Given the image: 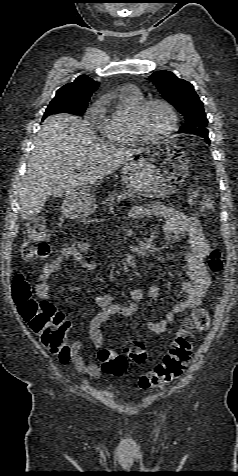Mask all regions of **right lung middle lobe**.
<instances>
[{
  "mask_svg": "<svg viewBox=\"0 0 238 476\" xmlns=\"http://www.w3.org/2000/svg\"><path fill=\"white\" fill-rule=\"evenodd\" d=\"M86 107L87 104H77L66 97H54L45 111L44 118H46L48 115L56 113L80 115L85 112Z\"/></svg>",
  "mask_w": 238,
  "mask_h": 476,
  "instance_id": "dd1d6c3e",
  "label": "right lung middle lobe"
}]
</instances>
